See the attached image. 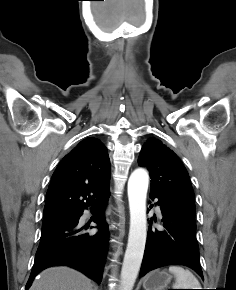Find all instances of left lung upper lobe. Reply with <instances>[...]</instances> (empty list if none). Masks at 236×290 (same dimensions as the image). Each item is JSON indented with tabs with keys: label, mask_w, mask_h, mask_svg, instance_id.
<instances>
[{
	"label": "left lung upper lobe",
	"mask_w": 236,
	"mask_h": 290,
	"mask_svg": "<svg viewBox=\"0 0 236 290\" xmlns=\"http://www.w3.org/2000/svg\"><path fill=\"white\" fill-rule=\"evenodd\" d=\"M151 177V192L169 202L179 213L195 222L194 192L189 175L176 154L160 140L150 138L138 159Z\"/></svg>",
	"instance_id": "5c2ea615"
}]
</instances>
